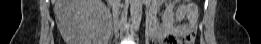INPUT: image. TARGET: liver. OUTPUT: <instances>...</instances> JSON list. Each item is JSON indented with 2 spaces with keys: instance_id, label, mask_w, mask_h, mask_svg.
<instances>
[{
  "instance_id": "liver-1",
  "label": "liver",
  "mask_w": 261,
  "mask_h": 44,
  "mask_svg": "<svg viewBox=\"0 0 261 44\" xmlns=\"http://www.w3.org/2000/svg\"><path fill=\"white\" fill-rule=\"evenodd\" d=\"M58 29L70 44L105 42L99 38L98 24L108 10L101 0H54ZM100 44V43H99Z\"/></svg>"
}]
</instances>
